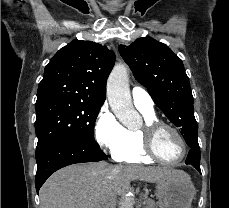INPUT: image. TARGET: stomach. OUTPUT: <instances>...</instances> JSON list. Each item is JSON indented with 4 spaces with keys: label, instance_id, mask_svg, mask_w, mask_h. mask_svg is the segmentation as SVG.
<instances>
[{
    "label": "stomach",
    "instance_id": "1",
    "mask_svg": "<svg viewBox=\"0 0 229 208\" xmlns=\"http://www.w3.org/2000/svg\"><path fill=\"white\" fill-rule=\"evenodd\" d=\"M159 208H190L195 188L191 178H161L156 182Z\"/></svg>",
    "mask_w": 229,
    "mask_h": 208
}]
</instances>
